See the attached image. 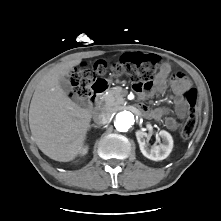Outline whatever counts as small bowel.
I'll return each mask as SVG.
<instances>
[{"mask_svg": "<svg viewBox=\"0 0 221 221\" xmlns=\"http://www.w3.org/2000/svg\"><path fill=\"white\" fill-rule=\"evenodd\" d=\"M140 53H125L121 60L123 62L129 60L133 56H138ZM171 74V65L168 62H163L160 67V71L157 77V80L155 82L154 88L150 92H142L141 90H138L141 97H145L149 94H152L153 92L161 93L165 89L166 80ZM171 86L175 93L178 95V97L174 101L175 106V112L177 114V117L179 119H184L187 114V107L184 102V100L179 96L184 90L190 87V81L187 79L185 74L182 71H176L172 75L171 79ZM143 112L145 115H147L149 118H152L154 120H160L163 116L165 117V126L169 130H176L178 128V121L176 118L167 116L168 110L164 107H158L155 109H149L146 107H143Z\"/></svg>", "mask_w": 221, "mask_h": 221, "instance_id": "1", "label": "small bowel"}]
</instances>
